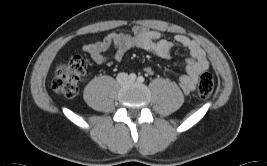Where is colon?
Wrapping results in <instances>:
<instances>
[{
  "mask_svg": "<svg viewBox=\"0 0 267 166\" xmlns=\"http://www.w3.org/2000/svg\"><path fill=\"white\" fill-rule=\"evenodd\" d=\"M87 64L84 58L77 56L66 63L60 64L55 70L52 88L66 98L74 97L79 90V83L85 75ZM214 80L210 73L203 72L198 82V95L208 100L212 95Z\"/></svg>",
  "mask_w": 267,
  "mask_h": 166,
  "instance_id": "1",
  "label": "colon"
}]
</instances>
